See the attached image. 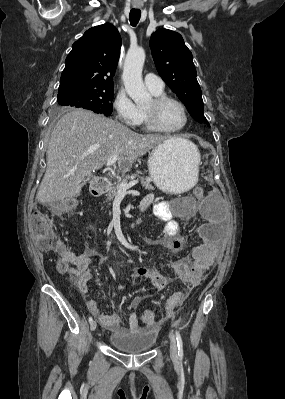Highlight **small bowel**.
<instances>
[{
	"label": "small bowel",
	"instance_id": "1",
	"mask_svg": "<svg viewBox=\"0 0 285 399\" xmlns=\"http://www.w3.org/2000/svg\"><path fill=\"white\" fill-rule=\"evenodd\" d=\"M152 206L153 214L163 222V235L160 239L153 241L164 253L175 256L172 260H161L154 267H141L134 269L130 275L135 278L148 280L157 291L164 290L173 277L179 278L184 289L173 293L168 301L170 304L180 305L188 296L190 291L204 278L205 273L216 262L219 254L218 232L219 217L217 211L210 204H199L191 213L201 215L205 222L193 237L198 244L189 250L188 241L190 236L181 233L180 225L172 214L169 203L166 200H156L152 193L145 195L140 203V210H148ZM190 256V257H189ZM93 259L85 256H75L74 265L80 276L78 286L83 292L88 291V283L92 279L90 266ZM198 267L201 270L200 276L196 279L193 276L192 268ZM140 302L139 298L129 304L127 327L122 328L120 320L115 315L102 313L100 305L93 299L87 300V308L90 313L99 321L100 325L113 333H121L125 330H133L138 327L136 308ZM169 315L172 313L168 312Z\"/></svg>",
	"mask_w": 285,
	"mask_h": 399
}]
</instances>
